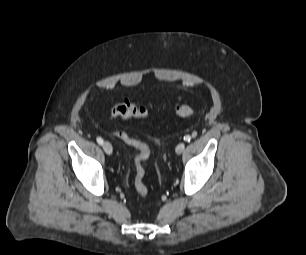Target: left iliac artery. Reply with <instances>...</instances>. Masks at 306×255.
<instances>
[{
	"label": "left iliac artery",
	"instance_id": "left-iliac-artery-1",
	"mask_svg": "<svg viewBox=\"0 0 306 255\" xmlns=\"http://www.w3.org/2000/svg\"><path fill=\"white\" fill-rule=\"evenodd\" d=\"M190 140H191V136L190 135L184 136V141L190 142Z\"/></svg>",
	"mask_w": 306,
	"mask_h": 255
}]
</instances>
